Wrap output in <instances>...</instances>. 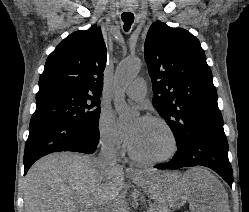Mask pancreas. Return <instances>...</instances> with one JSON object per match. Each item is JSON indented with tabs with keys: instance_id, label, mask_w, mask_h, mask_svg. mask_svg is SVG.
Instances as JSON below:
<instances>
[{
	"instance_id": "1",
	"label": "pancreas",
	"mask_w": 249,
	"mask_h": 212,
	"mask_svg": "<svg viewBox=\"0 0 249 212\" xmlns=\"http://www.w3.org/2000/svg\"><path fill=\"white\" fill-rule=\"evenodd\" d=\"M149 210H153V212H164L165 208H163V210H158L157 206H150V208H148V212Z\"/></svg>"
}]
</instances>
